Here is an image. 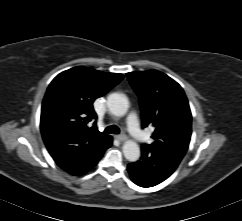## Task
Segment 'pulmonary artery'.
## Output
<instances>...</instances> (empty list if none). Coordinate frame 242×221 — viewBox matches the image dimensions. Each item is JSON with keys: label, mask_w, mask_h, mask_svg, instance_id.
Returning <instances> with one entry per match:
<instances>
[{"label": "pulmonary artery", "mask_w": 242, "mask_h": 221, "mask_svg": "<svg viewBox=\"0 0 242 221\" xmlns=\"http://www.w3.org/2000/svg\"><path fill=\"white\" fill-rule=\"evenodd\" d=\"M126 125L129 133L137 142H143L146 139L144 132L139 127L137 117L134 113H130L126 119Z\"/></svg>", "instance_id": "1"}]
</instances>
